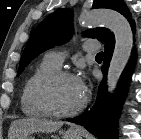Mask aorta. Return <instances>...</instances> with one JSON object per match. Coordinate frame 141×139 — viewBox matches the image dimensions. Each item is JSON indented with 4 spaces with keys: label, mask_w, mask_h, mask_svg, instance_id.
Listing matches in <instances>:
<instances>
[{
    "label": "aorta",
    "mask_w": 141,
    "mask_h": 139,
    "mask_svg": "<svg viewBox=\"0 0 141 139\" xmlns=\"http://www.w3.org/2000/svg\"><path fill=\"white\" fill-rule=\"evenodd\" d=\"M79 22L84 27L102 24L114 33L115 48L107 75V91L113 93L131 54L133 45L131 26L120 13L109 10L88 12L80 17Z\"/></svg>",
    "instance_id": "1"
}]
</instances>
